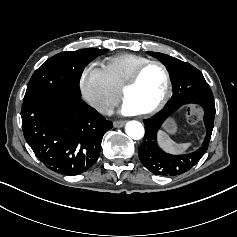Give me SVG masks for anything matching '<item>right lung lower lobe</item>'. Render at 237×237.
I'll use <instances>...</instances> for the list:
<instances>
[{"mask_svg":"<svg viewBox=\"0 0 237 237\" xmlns=\"http://www.w3.org/2000/svg\"><path fill=\"white\" fill-rule=\"evenodd\" d=\"M23 133L36 156L51 170L78 175L97 161L104 133L113 127L79 95L41 99L21 111Z\"/></svg>","mask_w":237,"mask_h":237,"instance_id":"1","label":"right lung lower lobe"}]
</instances>
